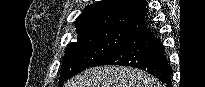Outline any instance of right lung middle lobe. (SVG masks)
<instances>
[{
  "mask_svg": "<svg viewBox=\"0 0 205 87\" xmlns=\"http://www.w3.org/2000/svg\"><path fill=\"white\" fill-rule=\"evenodd\" d=\"M131 35L129 32L115 30L92 31L79 35L77 41L70 43L66 49L59 79L60 86L69 78L91 67Z\"/></svg>",
  "mask_w": 205,
  "mask_h": 87,
  "instance_id": "1",
  "label": "right lung middle lobe"
}]
</instances>
